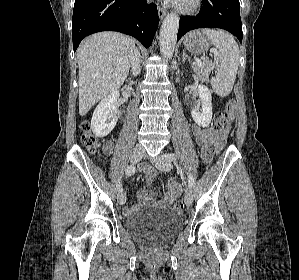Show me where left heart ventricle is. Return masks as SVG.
I'll list each match as a JSON object with an SVG mask.
<instances>
[{
    "instance_id": "b2bd125f",
    "label": "left heart ventricle",
    "mask_w": 299,
    "mask_h": 280,
    "mask_svg": "<svg viewBox=\"0 0 299 280\" xmlns=\"http://www.w3.org/2000/svg\"><path fill=\"white\" fill-rule=\"evenodd\" d=\"M181 1H185L186 2V1H189V0H181Z\"/></svg>"
}]
</instances>
